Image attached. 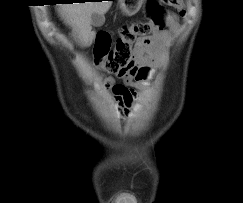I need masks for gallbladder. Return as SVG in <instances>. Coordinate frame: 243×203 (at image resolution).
<instances>
[{"mask_svg":"<svg viewBox=\"0 0 243 203\" xmlns=\"http://www.w3.org/2000/svg\"><path fill=\"white\" fill-rule=\"evenodd\" d=\"M105 17L103 14L93 13L91 16V23L93 26L100 27L104 24Z\"/></svg>","mask_w":243,"mask_h":203,"instance_id":"obj_1","label":"gallbladder"}]
</instances>
